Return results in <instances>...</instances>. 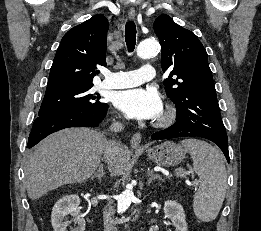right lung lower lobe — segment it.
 Instances as JSON below:
<instances>
[{"label": "right lung lower lobe", "mask_w": 261, "mask_h": 231, "mask_svg": "<svg viewBox=\"0 0 261 231\" xmlns=\"http://www.w3.org/2000/svg\"><path fill=\"white\" fill-rule=\"evenodd\" d=\"M108 105L101 108L75 109L38 117L28 139V148L49 134L68 127H96L105 118Z\"/></svg>", "instance_id": "obj_1"}]
</instances>
